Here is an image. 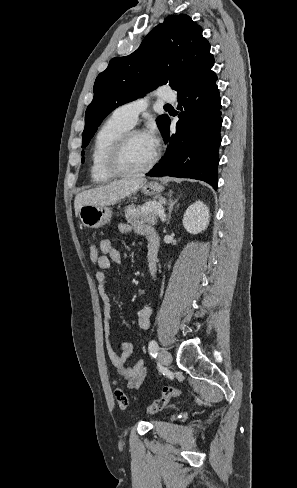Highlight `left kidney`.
<instances>
[{
  "instance_id": "left-kidney-1",
  "label": "left kidney",
  "mask_w": 297,
  "mask_h": 488,
  "mask_svg": "<svg viewBox=\"0 0 297 488\" xmlns=\"http://www.w3.org/2000/svg\"><path fill=\"white\" fill-rule=\"evenodd\" d=\"M209 208L200 200L188 207L183 216V226L187 232L198 234L209 224Z\"/></svg>"
}]
</instances>
